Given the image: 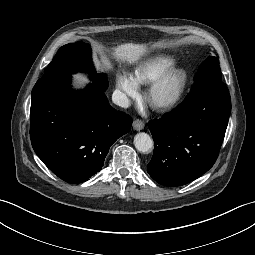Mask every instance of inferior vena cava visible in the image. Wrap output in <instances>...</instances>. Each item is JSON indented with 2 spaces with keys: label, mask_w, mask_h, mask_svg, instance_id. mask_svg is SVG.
Segmentation results:
<instances>
[{
  "label": "inferior vena cava",
  "mask_w": 255,
  "mask_h": 255,
  "mask_svg": "<svg viewBox=\"0 0 255 255\" xmlns=\"http://www.w3.org/2000/svg\"><path fill=\"white\" fill-rule=\"evenodd\" d=\"M112 101L114 104L122 107V108H128L130 106V100L128 97L121 92L120 90H115L112 94Z\"/></svg>",
  "instance_id": "obj_1"
}]
</instances>
